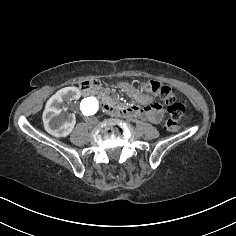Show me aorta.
<instances>
[{"label": "aorta", "instance_id": "aorta-1", "mask_svg": "<svg viewBox=\"0 0 236 236\" xmlns=\"http://www.w3.org/2000/svg\"><path fill=\"white\" fill-rule=\"evenodd\" d=\"M80 111L84 118L92 117L99 111V101L93 96L84 98L80 103Z\"/></svg>", "mask_w": 236, "mask_h": 236}]
</instances>
